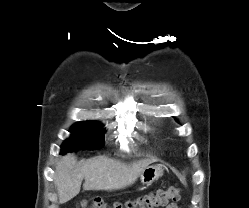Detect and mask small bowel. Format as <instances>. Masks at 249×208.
<instances>
[{"mask_svg":"<svg viewBox=\"0 0 249 208\" xmlns=\"http://www.w3.org/2000/svg\"><path fill=\"white\" fill-rule=\"evenodd\" d=\"M166 208H179L176 203H170L166 205Z\"/></svg>","mask_w":249,"mask_h":208,"instance_id":"obj_1","label":"small bowel"}]
</instances>
